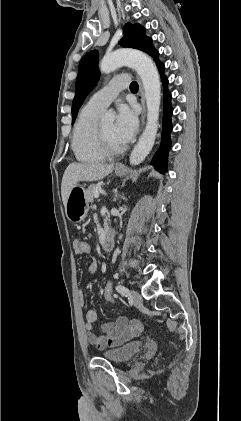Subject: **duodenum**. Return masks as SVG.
<instances>
[{
  "label": "duodenum",
  "instance_id": "duodenum-1",
  "mask_svg": "<svg viewBox=\"0 0 241 421\" xmlns=\"http://www.w3.org/2000/svg\"><path fill=\"white\" fill-rule=\"evenodd\" d=\"M113 245H114L113 234L112 233L106 234L102 242V249L105 252H108L113 248Z\"/></svg>",
  "mask_w": 241,
  "mask_h": 421
}]
</instances>
